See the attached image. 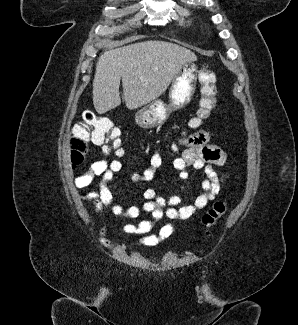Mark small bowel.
<instances>
[{"mask_svg": "<svg viewBox=\"0 0 298 325\" xmlns=\"http://www.w3.org/2000/svg\"><path fill=\"white\" fill-rule=\"evenodd\" d=\"M210 139V133L201 130L186 135L178 141V146L182 151L178 157L174 158L173 167L178 170L180 178L187 180L190 176V168L201 171L205 175L201 184L203 193L191 205H181L182 199L178 195L163 197L153 189L144 191L145 202L141 206H130L124 209L120 205H113L114 188L108 187L107 183L114 180L116 173L122 169V164L118 160L107 158L92 163L85 173L75 178L74 184L77 188L83 189L90 186L96 177L102 178L99 190L91 192L85 197L94 202L96 215H101L106 207H110L114 215L130 219L138 218L143 212L150 213L152 220H142L137 224H126L122 230L126 234L137 235L139 244L154 247L169 238L174 232L173 225L166 224L160 228L157 234H152L155 221L163 217L188 219L197 210L205 208L220 192L226 176L217 173L213 166H223L227 155L222 148L211 144ZM149 162L150 166L147 169L131 174L132 182L150 181L154 178L156 169L163 162L161 150L153 152L150 155ZM100 242L106 247L111 246L110 241L106 238V227L100 230Z\"/></svg>", "mask_w": 298, "mask_h": 325, "instance_id": "1", "label": "small bowel"}]
</instances>
